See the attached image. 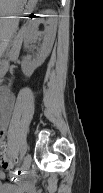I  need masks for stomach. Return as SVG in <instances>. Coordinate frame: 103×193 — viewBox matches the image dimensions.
<instances>
[{
    "mask_svg": "<svg viewBox=\"0 0 103 193\" xmlns=\"http://www.w3.org/2000/svg\"><path fill=\"white\" fill-rule=\"evenodd\" d=\"M38 0H0V15L2 17L22 15L33 11ZM8 20H2V38L0 42L1 53L6 49L11 33V29L7 26Z\"/></svg>",
    "mask_w": 103,
    "mask_h": 193,
    "instance_id": "1",
    "label": "stomach"
}]
</instances>
